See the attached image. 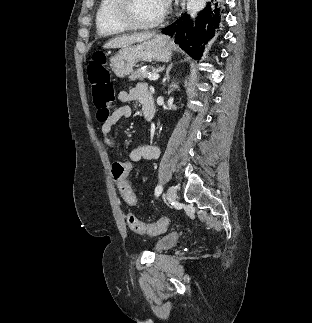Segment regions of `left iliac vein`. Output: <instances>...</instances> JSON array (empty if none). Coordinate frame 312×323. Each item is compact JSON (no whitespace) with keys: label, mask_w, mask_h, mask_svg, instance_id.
Masks as SVG:
<instances>
[{"label":"left iliac vein","mask_w":312,"mask_h":323,"mask_svg":"<svg viewBox=\"0 0 312 323\" xmlns=\"http://www.w3.org/2000/svg\"><path fill=\"white\" fill-rule=\"evenodd\" d=\"M177 197V189L174 186H170L167 191V198L171 201H175Z\"/></svg>","instance_id":"4c4485c4"}]
</instances>
